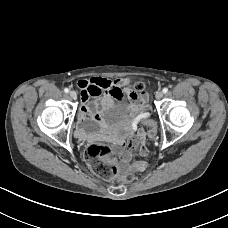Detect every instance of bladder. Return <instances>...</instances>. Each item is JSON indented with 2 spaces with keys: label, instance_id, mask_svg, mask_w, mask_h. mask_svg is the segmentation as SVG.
I'll return each mask as SVG.
<instances>
[{
  "label": "bladder",
  "instance_id": "1",
  "mask_svg": "<svg viewBox=\"0 0 228 228\" xmlns=\"http://www.w3.org/2000/svg\"><path fill=\"white\" fill-rule=\"evenodd\" d=\"M135 110L129 107V103L124 99H118L106 109L102 123L106 126L115 125L132 120Z\"/></svg>",
  "mask_w": 228,
  "mask_h": 228
}]
</instances>
